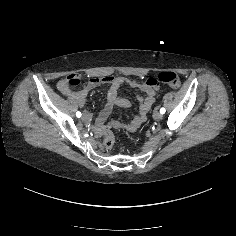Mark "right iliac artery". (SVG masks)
<instances>
[{
	"mask_svg": "<svg viewBox=\"0 0 236 236\" xmlns=\"http://www.w3.org/2000/svg\"><path fill=\"white\" fill-rule=\"evenodd\" d=\"M76 116L78 117V118H80L81 117V112H76Z\"/></svg>",
	"mask_w": 236,
	"mask_h": 236,
	"instance_id": "82829eb1",
	"label": "right iliac artery"
}]
</instances>
